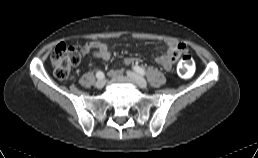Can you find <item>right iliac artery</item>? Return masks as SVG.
Wrapping results in <instances>:
<instances>
[{
    "mask_svg": "<svg viewBox=\"0 0 258 158\" xmlns=\"http://www.w3.org/2000/svg\"><path fill=\"white\" fill-rule=\"evenodd\" d=\"M96 77H97L98 79H103V78H104V73H103L102 71H98V72L96 73Z\"/></svg>",
    "mask_w": 258,
    "mask_h": 158,
    "instance_id": "obj_1",
    "label": "right iliac artery"
}]
</instances>
